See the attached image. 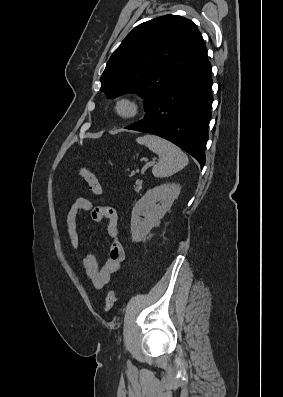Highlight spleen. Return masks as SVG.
Instances as JSON below:
<instances>
[{"instance_id":"obj_1","label":"spleen","mask_w":283,"mask_h":397,"mask_svg":"<svg viewBox=\"0 0 283 397\" xmlns=\"http://www.w3.org/2000/svg\"><path fill=\"white\" fill-rule=\"evenodd\" d=\"M136 141L159 155L160 161L152 168V173L156 178L169 177L188 164L187 155L179 147L163 138L147 134L137 138Z\"/></svg>"}]
</instances>
